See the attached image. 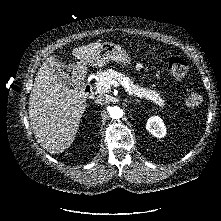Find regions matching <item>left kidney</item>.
Here are the masks:
<instances>
[{
    "label": "left kidney",
    "instance_id": "left-kidney-1",
    "mask_svg": "<svg viewBox=\"0 0 221 221\" xmlns=\"http://www.w3.org/2000/svg\"><path fill=\"white\" fill-rule=\"evenodd\" d=\"M146 129L157 138H163L166 135V127L159 116L149 118Z\"/></svg>",
    "mask_w": 221,
    "mask_h": 221
}]
</instances>
